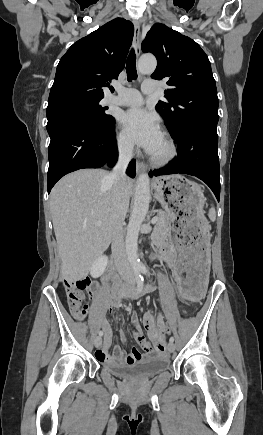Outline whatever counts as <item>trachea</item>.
<instances>
[{
	"instance_id": "3493384b",
	"label": "trachea",
	"mask_w": 263,
	"mask_h": 435,
	"mask_svg": "<svg viewBox=\"0 0 263 435\" xmlns=\"http://www.w3.org/2000/svg\"><path fill=\"white\" fill-rule=\"evenodd\" d=\"M126 73H127V80L131 82L132 80L137 78V71H136V55L134 53V50L132 49L126 62Z\"/></svg>"
}]
</instances>
